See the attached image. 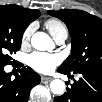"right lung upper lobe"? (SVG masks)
Here are the masks:
<instances>
[{
  "mask_svg": "<svg viewBox=\"0 0 102 102\" xmlns=\"http://www.w3.org/2000/svg\"><path fill=\"white\" fill-rule=\"evenodd\" d=\"M1 7L9 12H14L15 14L24 18L29 23L34 21L35 19H37L40 16V11L25 9L18 5H4Z\"/></svg>",
  "mask_w": 102,
  "mask_h": 102,
  "instance_id": "1",
  "label": "right lung upper lobe"
}]
</instances>
